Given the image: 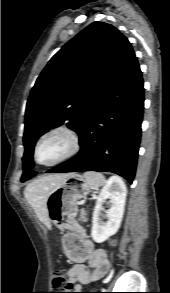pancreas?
Listing matches in <instances>:
<instances>
[{"mask_svg":"<svg viewBox=\"0 0 170 293\" xmlns=\"http://www.w3.org/2000/svg\"><path fill=\"white\" fill-rule=\"evenodd\" d=\"M80 221L83 222V223L87 221L85 212H81V214H80Z\"/></svg>","mask_w":170,"mask_h":293,"instance_id":"pancreas-1","label":"pancreas"}]
</instances>
